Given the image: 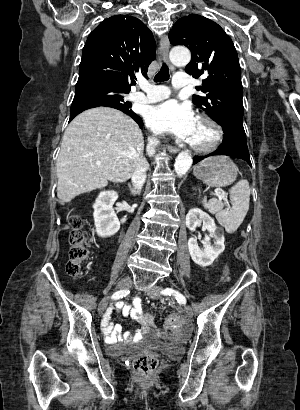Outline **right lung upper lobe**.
I'll use <instances>...</instances> for the list:
<instances>
[{"mask_svg":"<svg viewBox=\"0 0 300 410\" xmlns=\"http://www.w3.org/2000/svg\"><path fill=\"white\" fill-rule=\"evenodd\" d=\"M155 56L153 34L143 22L131 16H112L89 35L82 52L78 82L102 83L130 92L134 72L146 76Z\"/></svg>","mask_w":300,"mask_h":410,"instance_id":"obj_1","label":"right lung upper lobe"}]
</instances>
